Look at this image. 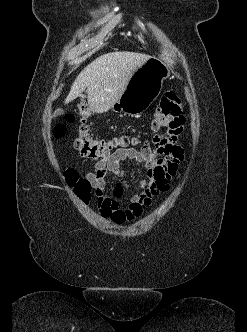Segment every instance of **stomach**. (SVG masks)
Segmentation results:
<instances>
[{"mask_svg":"<svg viewBox=\"0 0 247 332\" xmlns=\"http://www.w3.org/2000/svg\"><path fill=\"white\" fill-rule=\"evenodd\" d=\"M169 76V65L159 58L150 57L134 71L125 91L112 109L133 117L142 115L159 96L163 81Z\"/></svg>","mask_w":247,"mask_h":332,"instance_id":"0dacf381","label":"stomach"}]
</instances>
